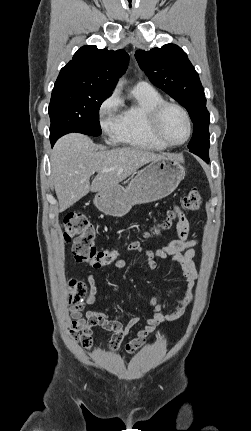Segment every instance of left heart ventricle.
<instances>
[{"label": "left heart ventricle", "mask_w": 251, "mask_h": 431, "mask_svg": "<svg viewBox=\"0 0 251 431\" xmlns=\"http://www.w3.org/2000/svg\"><path fill=\"white\" fill-rule=\"evenodd\" d=\"M160 129L170 142L182 141L187 134V125L183 114L174 107H168L162 114Z\"/></svg>", "instance_id": "1"}]
</instances>
